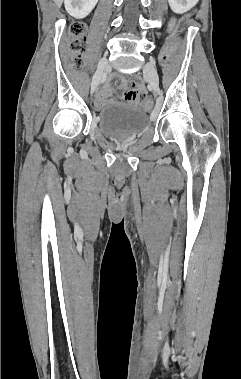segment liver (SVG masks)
I'll use <instances>...</instances> for the list:
<instances>
[{
    "instance_id": "obj_1",
    "label": "liver",
    "mask_w": 241,
    "mask_h": 379,
    "mask_svg": "<svg viewBox=\"0 0 241 379\" xmlns=\"http://www.w3.org/2000/svg\"><path fill=\"white\" fill-rule=\"evenodd\" d=\"M63 0H55V2L60 5L62 3Z\"/></svg>"
}]
</instances>
